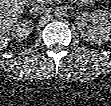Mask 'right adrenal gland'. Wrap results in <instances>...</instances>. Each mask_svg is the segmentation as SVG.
<instances>
[{
    "mask_svg": "<svg viewBox=\"0 0 111 106\" xmlns=\"http://www.w3.org/2000/svg\"><path fill=\"white\" fill-rule=\"evenodd\" d=\"M30 13L36 16V14H35V13H33L32 11H30Z\"/></svg>",
    "mask_w": 111,
    "mask_h": 106,
    "instance_id": "obj_1",
    "label": "right adrenal gland"
}]
</instances>
